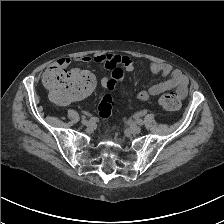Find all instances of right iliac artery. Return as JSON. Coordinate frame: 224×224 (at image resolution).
Masks as SVG:
<instances>
[{"label":"right iliac artery","mask_w":224,"mask_h":224,"mask_svg":"<svg viewBox=\"0 0 224 224\" xmlns=\"http://www.w3.org/2000/svg\"><path fill=\"white\" fill-rule=\"evenodd\" d=\"M92 124L96 122V118L95 117H91L89 120Z\"/></svg>","instance_id":"right-iliac-artery-1"}]
</instances>
